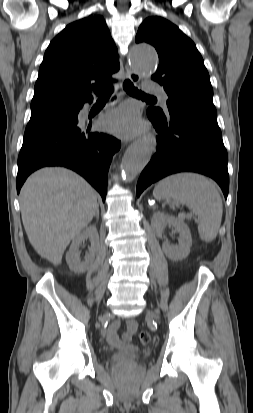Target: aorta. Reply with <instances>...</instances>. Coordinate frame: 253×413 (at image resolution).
<instances>
[{"mask_svg": "<svg viewBox=\"0 0 253 413\" xmlns=\"http://www.w3.org/2000/svg\"><path fill=\"white\" fill-rule=\"evenodd\" d=\"M158 56L155 49L146 43H139L132 47L130 62L132 67L141 74H150L157 68ZM154 139L146 137L126 151L121 168L128 181L133 180L148 164L154 150Z\"/></svg>", "mask_w": 253, "mask_h": 413, "instance_id": "aorta-1", "label": "aorta"}]
</instances>
